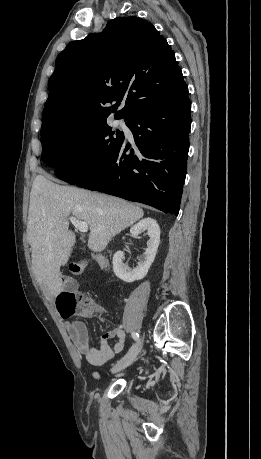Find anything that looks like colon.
<instances>
[{"label": "colon", "instance_id": "obj_1", "mask_svg": "<svg viewBox=\"0 0 261 459\" xmlns=\"http://www.w3.org/2000/svg\"><path fill=\"white\" fill-rule=\"evenodd\" d=\"M85 267V260H73L69 264L71 273L81 274ZM59 312L62 317H70L73 314L83 316H97L103 314V309L96 303L95 299L85 293L75 292L65 295L59 305Z\"/></svg>", "mask_w": 261, "mask_h": 459}]
</instances>
